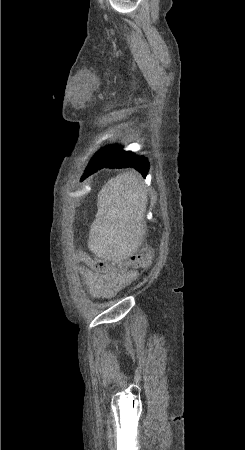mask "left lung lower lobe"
Returning a JSON list of instances; mask_svg holds the SVG:
<instances>
[{"label":"left lung lower lobe","instance_id":"1","mask_svg":"<svg viewBox=\"0 0 245 450\" xmlns=\"http://www.w3.org/2000/svg\"><path fill=\"white\" fill-rule=\"evenodd\" d=\"M96 154L98 157L94 164L88 167L82 176L84 180L97 170L108 168H125L132 167L139 171L143 177H146L149 170L147 158L136 155L131 151H123L122 149H101Z\"/></svg>","mask_w":245,"mask_h":450}]
</instances>
